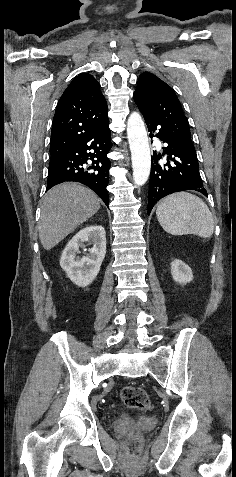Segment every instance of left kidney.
<instances>
[{"label":"left kidney","mask_w":236,"mask_h":477,"mask_svg":"<svg viewBox=\"0 0 236 477\" xmlns=\"http://www.w3.org/2000/svg\"><path fill=\"white\" fill-rule=\"evenodd\" d=\"M171 274L174 281L180 284H186L193 280L191 268L181 260H174L171 263Z\"/></svg>","instance_id":"left-kidney-1"}]
</instances>
